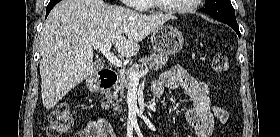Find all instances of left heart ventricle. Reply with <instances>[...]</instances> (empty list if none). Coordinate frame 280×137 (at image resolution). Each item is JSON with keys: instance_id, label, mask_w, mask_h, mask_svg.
I'll use <instances>...</instances> for the list:
<instances>
[{"instance_id": "left-heart-ventricle-1", "label": "left heart ventricle", "mask_w": 280, "mask_h": 137, "mask_svg": "<svg viewBox=\"0 0 280 137\" xmlns=\"http://www.w3.org/2000/svg\"><path fill=\"white\" fill-rule=\"evenodd\" d=\"M165 6L170 8H178L186 6L190 3V0H161Z\"/></svg>"}]
</instances>
